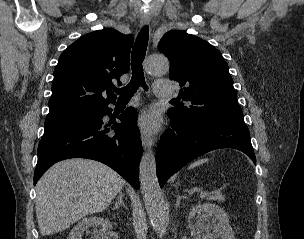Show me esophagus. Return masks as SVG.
I'll list each match as a JSON object with an SVG mask.
<instances>
[{"label":"esophagus","mask_w":304,"mask_h":239,"mask_svg":"<svg viewBox=\"0 0 304 239\" xmlns=\"http://www.w3.org/2000/svg\"><path fill=\"white\" fill-rule=\"evenodd\" d=\"M149 23H150L149 18H142L140 20V24L143 27L149 25ZM141 142H142L143 147L146 149V148H150L154 144V139L151 136L143 133L141 135Z\"/></svg>","instance_id":"34e87169"}]
</instances>
